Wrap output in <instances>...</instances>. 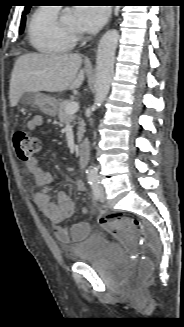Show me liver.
Segmentation results:
<instances>
[{"mask_svg": "<svg viewBox=\"0 0 184 327\" xmlns=\"http://www.w3.org/2000/svg\"><path fill=\"white\" fill-rule=\"evenodd\" d=\"M81 64V55L75 53H28L18 57L10 80L11 107L17 105L24 93H57L79 88L85 79Z\"/></svg>", "mask_w": 184, "mask_h": 327, "instance_id": "1", "label": "liver"}]
</instances>
